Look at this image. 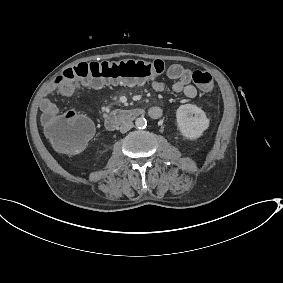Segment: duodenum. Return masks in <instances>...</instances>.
I'll use <instances>...</instances> for the list:
<instances>
[{"label":"duodenum","instance_id":"1","mask_svg":"<svg viewBox=\"0 0 283 283\" xmlns=\"http://www.w3.org/2000/svg\"><path fill=\"white\" fill-rule=\"evenodd\" d=\"M144 115V111L141 108H131L128 110H114L105 119V127L109 131L116 130L121 124L134 120Z\"/></svg>","mask_w":283,"mask_h":283}]
</instances>
